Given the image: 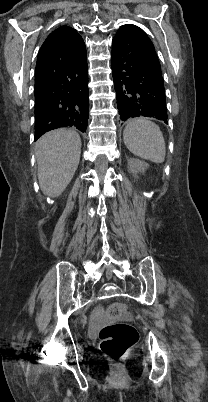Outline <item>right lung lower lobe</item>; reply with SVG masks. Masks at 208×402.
I'll use <instances>...</instances> for the list:
<instances>
[{
    "label": "right lung lower lobe",
    "instance_id": "right-lung-lower-lobe-1",
    "mask_svg": "<svg viewBox=\"0 0 208 402\" xmlns=\"http://www.w3.org/2000/svg\"><path fill=\"white\" fill-rule=\"evenodd\" d=\"M89 117L87 53L78 34L39 52L35 70V141L67 126L86 131Z\"/></svg>",
    "mask_w": 208,
    "mask_h": 402
}]
</instances>
